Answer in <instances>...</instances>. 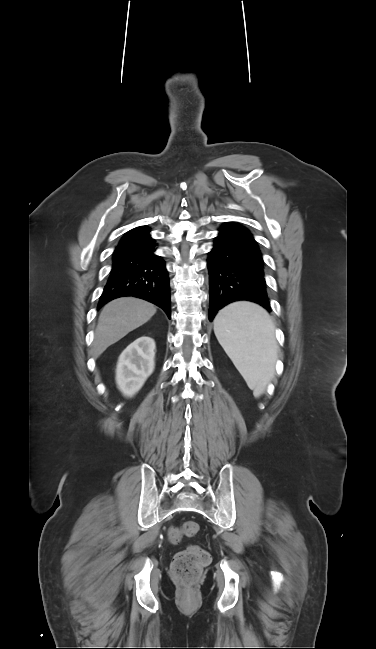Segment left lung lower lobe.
Masks as SVG:
<instances>
[{
    "label": "left lung lower lobe",
    "instance_id": "0a47b994",
    "mask_svg": "<svg viewBox=\"0 0 376 649\" xmlns=\"http://www.w3.org/2000/svg\"><path fill=\"white\" fill-rule=\"evenodd\" d=\"M210 282L209 320L218 310L238 301H253L271 312L264 279L265 263L251 233L229 223L219 229L207 259Z\"/></svg>",
    "mask_w": 376,
    "mask_h": 649
}]
</instances>
